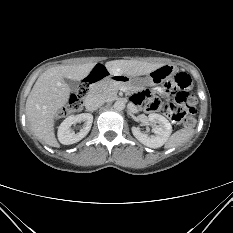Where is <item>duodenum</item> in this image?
<instances>
[{
	"instance_id": "1",
	"label": "duodenum",
	"mask_w": 233,
	"mask_h": 233,
	"mask_svg": "<svg viewBox=\"0 0 233 233\" xmlns=\"http://www.w3.org/2000/svg\"><path fill=\"white\" fill-rule=\"evenodd\" d=\"M105 77L115 79V76L106 73V69L103 66H98L95 71H93L84 81V86L87 90V93H89L90 91H94L97 93L100 92L102 88L100 85H98L97 82Z\"/></svg>"
}]
</instances>
